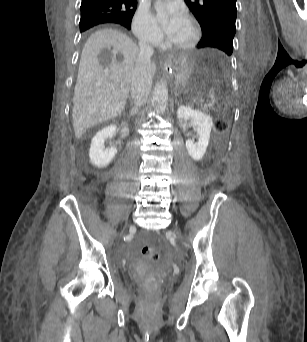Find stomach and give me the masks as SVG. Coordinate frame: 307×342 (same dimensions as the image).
Returning <instances> with one entry per match:
<instances>
[{
	"instance_id": "1",
	"label": "stomach",
	"mask_w": 307,
	"mask_h": 342,
	"mask_svg": "<svg viewBox=\"0 0 307 342\" xmlns=\"http://www.w3.org/2000/svg\"><path fill=\"white\" fill-rule=\"evenodd\" d=\"M196 69V59L191 56H178L166 66V71L174 76L177 90L184 94L193 93V74Z\"/></svg>"
}]
</instances>
